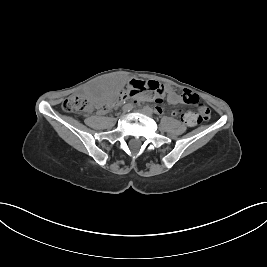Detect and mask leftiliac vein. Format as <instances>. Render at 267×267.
<instances>
[{
  "instance_id": "left-iliac-vein-1",
  "label": "left iliac vein",
  "mask_w": 267,
  "mask_h": 267,
  "mask_svg": "<svg viewBox=\"0 0 267 267\" xmlns=\"http://www.w3.org/2000/svg\"><path fill=\"white\" fill-rule=\"evenodd\" d=\"M140 113L146 115V116H152V113H150L149 111H147L145 108L139 110Z\"/></svg>"
}]
</instances>
